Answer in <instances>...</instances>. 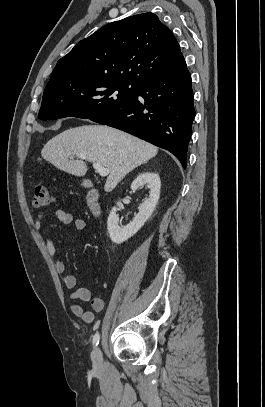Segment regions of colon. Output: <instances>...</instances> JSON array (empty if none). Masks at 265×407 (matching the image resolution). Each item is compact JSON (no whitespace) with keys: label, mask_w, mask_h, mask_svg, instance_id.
Wrapping results in <instances>:
<instances>
[{"label":"colon","mask_w":265,"mask_h":407,"mask_svg":"<svg viewBox=\"0 0 265 407\" xmlns=\"http://www.w3.org/2000/svg\"><path fill=\"white\" fill-rule=\"evenodd\" d=\"M52 202V196L46 185H38L35 188L33 204L35 207H45Z\"/></svg>","instance_id":"1"}]
</instances>
